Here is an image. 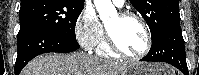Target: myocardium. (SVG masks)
<instances>
[{
  "instance_id": "myocardium-1",
  "label": "myocardium",
  "mask_w": 199,
  "mask_h": 75,
  "mask_svg": "<svg viewBox=\"0 0 199 75\" xmlns=\"http://www.w3.org/2000/svg\"><path fill=\"white\" fill-rule=\"evenodd\" d=\"M119 17L121 19H134L140 23V25L142 26V28L144 30L145 37H146L145 48L139 54L129 55L118 46V44L116 43V41L114 40V38L112 37V35L110 34V32L107 29V41H108L107 43H108L109 47L112 49V51L114 53L118 54L119 56H121L125 59H130V60L142 59L149 53L151 46H152V35H151V31H150V28H149L147 22L142 17H140L139 15L132 13V12H122L119 14Z\"/></svg>"
}]
</instances>
